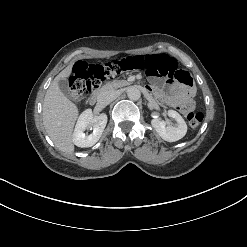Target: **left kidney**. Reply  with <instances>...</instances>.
Segmentation results:
<instances>
[{
	"instance_id": "obj_1",
	"label": "left kidney",
	"mask_w": 247,
	"mask_h": 247,
	"mask_svg": "<svg viewBox=\"0 0 247 247\" xmlns=\"http://www.w3.org/2000/svg\"><path fill=\"white\" fill-rule=\"evenodd\" d=\"M167 114L177 122L176 126H166V123L160 119H152L151 125L159 134V136L165 141H178L186 135L187 124L178 112L174 110H168Z\"/></svg>"
}]
</instances>
